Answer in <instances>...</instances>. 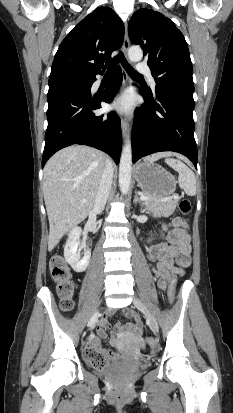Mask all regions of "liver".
<instances>
[{"label": "liver", "instance_id": "1", "mask_svg": "<svg viewBox=\"0 0 233 413\" xmlns=\"http://www.w3.org/2000/svg\"><path fill=\"white\" fill-rule=\"evenodd\" d=\"M172 155L162 152L145 158V161L154 162ZM105 160L106 157L95 148L72 145L58 151L46 163L43 195L49 220V251L92 210Z\"/></svg>", "mask_w": 233, "mask_h": 413}]
</instances>
